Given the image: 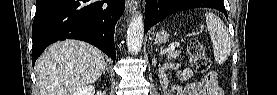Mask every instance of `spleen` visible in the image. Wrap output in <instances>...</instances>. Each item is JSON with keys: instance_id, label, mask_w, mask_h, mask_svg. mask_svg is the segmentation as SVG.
Instances as JSON below:
<instances>
[{"instance_id": "3e777b00", "label": "spleen", "mask_w": 277, "mask_h": 95, "mask_svg": "<svg viewBox=\"0 0 277 95\" xmlns=\"http://www.w3.org/2000/svg\"><path fill=\"white\" fill-rule=\"evenodd\" d=\"M206 24L213 44L214 59L223 64L231 52V38L223 21L212 12H206Z\"/></svg>"}]
</instances>
